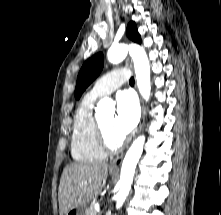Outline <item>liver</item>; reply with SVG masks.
I'll return each instance as SVG.
<instances>
[{"label":"liver","mask_w":221,"mask_h":215,"mask_svg":"<svg viewBox=\"0 0 221 215\" xmlns=\"http://www.w3.org/2000/svg\"><path fill=\"white\" fill-rule=\"evenodd\" d=\"M108 165L96 163H72L63 170L58 192L59 213L86 205L104 187Z\"/></svg>","instance_id":"1"}]
</instances>
